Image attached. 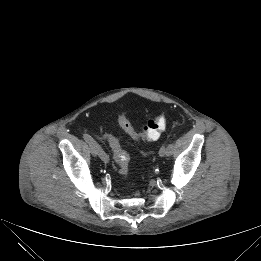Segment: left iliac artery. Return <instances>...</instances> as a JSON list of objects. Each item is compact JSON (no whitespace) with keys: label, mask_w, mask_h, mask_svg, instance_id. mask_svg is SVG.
Masks as SVG:
<instances>
[{"label":"left iliac artery","mask_w":261,"mask_h":261,"mask_svg":"<svg viewBox=\"0 0 261 261\" xmlns=\"http://www.w3.org/2000/svg\"><path fill=\"white\" fill-rule=\"evenodd\" d=\"M167 147V155H171L173 151L175 150V143L173 140L169 141L166 145Z\"/></svg>","instance_id":"1"}]
</instances>
